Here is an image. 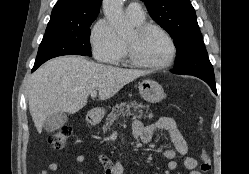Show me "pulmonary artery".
Here are the masks:
<instances>
[{
    "mask_svg": "<svg viewBox=\"0 0 249 174\" xmlns=\"http://www.w3.org/2000/svg\"><path fill=\"white\" fill-rule=\"evenodd\" d=\"M126 13L130 18L141 19L144 18V11L138 2H131L126 7Z\"/></svg>",
    "mask_w": 249,
    "mask_h": 174,
    "instance_id": "1",
    "label": "pulmonary artery"
}]
</instances>
